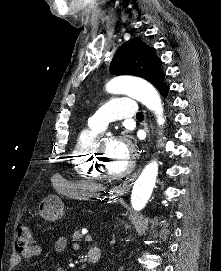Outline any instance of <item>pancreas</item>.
<instances>
[{"instance_id":"obj_1","label":"pancreas","mask_w":221,"mask_h":271,"mask_svg":"<svg viewBox=\"0 0 221 271\" xmlns=\"http://www.w3.org/2000/svg\"><path fill=\"white\" fill-rule=\"evenodd\" d=\"M73 237L74 242H81L82 233H80V231H74Z\"/></svg>"}]
</instances>
